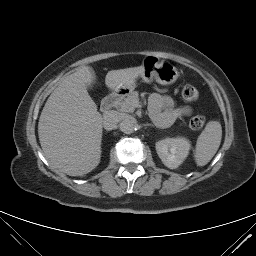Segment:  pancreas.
Wrapping results in <instances>:
<instances>
[{"instance_id": "cf45deb5", "label": "pancreas", "mask_w": 256, "mask_h": 256, "mask_svg": "<svg viewBox=\"0 0 256 256\" xmlns=\"http://www.w3.org/2000/svg\"><path fill=\"white\" fill-rule=\"evenodd\" d=\"M138 95V92H132L124 100L117 103L116 109L120 112L133 113L139 100Z\"/></svg>"}]
</instances>
